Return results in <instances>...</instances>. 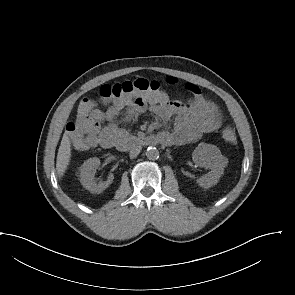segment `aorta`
<instances>
[{"instance_id": "obj_1", "label": "aorta", "mask_w": 295, "mask_h": 295, "mask_svg": "<svg viewBox=\"0 0 295 295\" xmlns=\"http://www.w3.org/2000/svg\"><path fill=\"white\" fill-rule=\"evenodd\" d=\"M146 156L150 160H156L159 158V151L155 147H148L146 150Z\"/></svg>"}]
</instances>
